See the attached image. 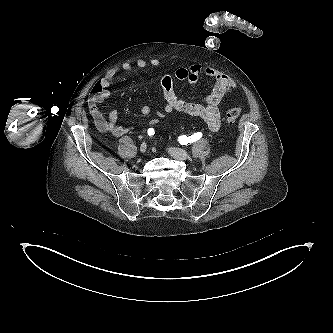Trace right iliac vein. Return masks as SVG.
Instances as JSON below:
<instances>
[{"label": "right iliac vein", "mask_w": 333, "mask_h": 333, "mask_svg": "<svg viewBox=\"0 0 333 333\" xmlns=\"http://www.w3.org/2000/svg\"><path fill=\"white\" fill-rule=\"evenodd\" d=\"M146 149H147V144L145 142H143L140 146V151L142 153H144L146 151Z\"/></svg>", "instance_id": "obj_1"}]
</instances>
